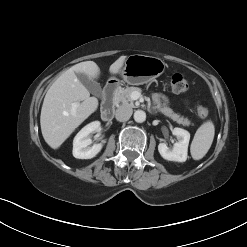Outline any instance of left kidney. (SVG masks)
Returning a JSON list of instances; mask_svg holds the SVG:
<instances>
[{"label":"left kidney","instance_id":"obj_1","mask_svg":"<svg viewBox=\"0 0 247 247\" xmlns=\"http://www.w3.org/2000/svg\"><path fill=\"white\" fill-rule=\"evenodd\" d=\"M172 134L178 140L173 148L169 149L165 143H160L158 145V151L165 160L185 162L187 160L190 133L182 128H174Z\"/></svg>","mask_w":247,"mask_h":247}]
</instances>
